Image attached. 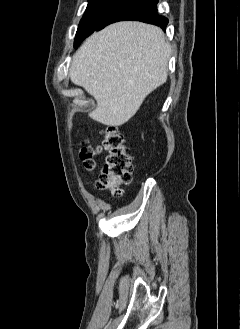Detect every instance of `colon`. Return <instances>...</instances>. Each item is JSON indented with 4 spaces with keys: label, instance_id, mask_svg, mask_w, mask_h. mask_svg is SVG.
Returning a JSON list of instances; mask_svg holds the SVG:
<instances>
[{
    "label": "colon",
    "instance_id": "colon-1",
    "mask_svg": "<svg viewBox=\"0 0 240 329\" xmlns=\"http://www.w3.org/2000/svg\"><path fill=\"white\" fill-rule=\"evenodd\" d=\"M108 155L105 166L98 178L97 186L109 190L114 195H120L121 187L132 180V157L124 142L122 133L115 127L105 130L102 146H83L80 157L84 166L92 170L96 166V157L101 150Z\"/></svg>",
    "mask_w": 240,
    "mask_h": 329
}]
</instances>
